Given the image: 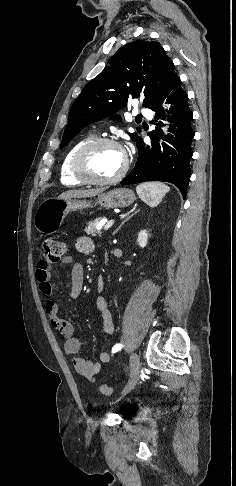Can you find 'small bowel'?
<instances>
[{"instance_id": "c3829d8e", "label": "small bowel", "mask_w": 236, "mask_h": 486, "mask_svg": "<svg viewBox=\"0 0 236 486\" xmlns=\"http://www.w3.org/2000/svg\"><path fill=\"white\" fill-rule=\"evenodd\" d=\"M76 248L81 253L89 254L94 250L95 244L91 238L82 236L76 240ZM62 263H70L72 265L70 284L67 293L71 299H77L80 297L83 290L84 267L81 262L77 261L72 256L64 257ZM36 278L39 283L40 291L44 295L50 297L53 293V289L50 283L51 263L48 259L43 258L38 261ZM103 284V279L100 277L98 281L100 291L103 289ZM96 306L100 312L105 333L109 335L113 334L114 322L106 298L99 295L96 299ZM45 310L50 318L51 326L59 331L64 338V351L70 357L77 373L90 381H94L95 377L102 371L101 363L111 362L110 353L103 351L100 354V362H94L89 358L83 357L81 355V350L86 345V342L75 337L73 325L59 316V303L56 300L49 298L46 301Z\"/></svg>"}]
</instances>
